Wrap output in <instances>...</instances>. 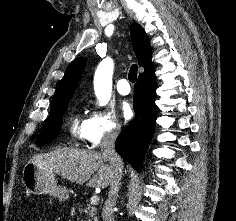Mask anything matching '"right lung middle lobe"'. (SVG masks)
Instances as JSON below:
<instances>
[{
  "instance_id": "right-lung-middle-lobe-1",
  "label": "right lung middle lobe",
  "mask_w": 236,
  "mask_h": 221,
  "mask_svg": "<svg viewBox=\"0 0 236 221\" xmlns=\"http://www.w3.org/2000/svg\"><path fill=\"white\" fill-rule=\"evenodd\" d=\"M68 103L69 101L50 110V115L36 140L37 146H43L57 138L62 124V116L67 109Z\"/></svg>"
}]
</instances>
